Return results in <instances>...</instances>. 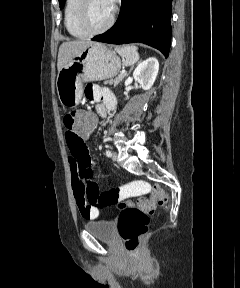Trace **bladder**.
<instances>
[{
	"mask_svg": "<svg viewBox=\"0 0 240 288\" xmlns=\"http://www.w3.org/2000/svg\"><path fill=\"white\" fill-rule=\"evenodd\" d=\"M84 228L91 235L105 242L113 243L116 240V228L112 221L95 220L86 223Z\"/></svg>",
	"mask_w": 240,
	"mask_h": 288,
	"instance_id": "1",
	"label": "bladder"
}]
</instances>
